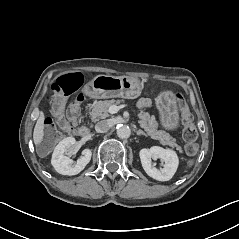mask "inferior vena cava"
<instances>
[{"mask_svg":"<svg viewBox=\"0 0 239 239\" xmlns=\"http://www.w3.org/2000/svg\"><path fill=\"white\" fill-rule=\"evenodd\" d=\"M110 129V123L108 120H101L95 125V130L98 133L107 132Z\"/></svg>","mask_w":239,"mask_h":239,"instance_id":"1","label":"inferior vena cava"}]
</instances>
